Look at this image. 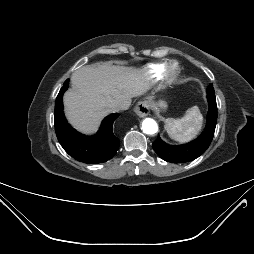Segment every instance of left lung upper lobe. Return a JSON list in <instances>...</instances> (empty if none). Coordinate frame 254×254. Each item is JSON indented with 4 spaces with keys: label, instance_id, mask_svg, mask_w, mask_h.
I'll list each match as a JSON object with an SVG mask.
<instances>
[{
    "label": "left lung upper lobe",
    "instance_id": "obj_1",
    "mask_svg": "<svg viewBox=\"0 0 254 254\" xmlns=\"http://www.w3.org/2000/svg\"><path fill=\"white\" fill-rule=\"evenodd\" d=\"M208 87H210V88H211V87H213V85H212V84H210Z\"/></svg>",
    "mask_w": 254,
    "mask_h": 254
}]
</instances>
